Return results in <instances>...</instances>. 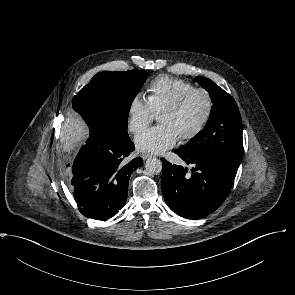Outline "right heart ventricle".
I'll use <instances>...</instances> for the list:
<instances>
[{"label": "right heart ventricle", "mask_w": 295, "mask_h": 295, "mask_svg": "<svg viewBox=\"0 0 295 295\" xmlns=\"http://www.w3.org/2000/svg\"><path fill=\"white\" fill-rule=\"evenodd\" d=\"M192 88L194 84L188 80L160 75L154 78L148 86V100L156 115H160Z\"/></svg>", "instance_id": "obj_1"}]
</instances>
